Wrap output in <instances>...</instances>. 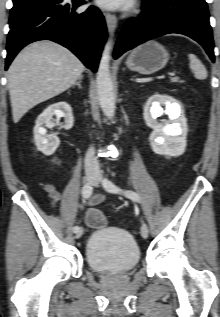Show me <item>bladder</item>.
I'll return each mask as SVG.
<instances>
[{
	"mask_svg": "<svg viewBox=\"0 0 220 317\" xmlns=\"http://www.w3.org/2000/svg\"><path fill=\"white\" fill-rule=\"evenodd\" d=\"M86 264L99 273H126L135 268L141 253L134 237L125 229L95 230L85 245Z\"/></svg>",
	"mask_w": 220,
	"mask_h": 317,
	"instance_id": "obj_1",
	"label": "bladder"
}]
</instances>
